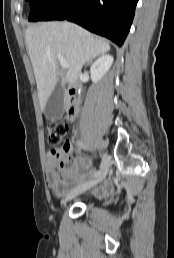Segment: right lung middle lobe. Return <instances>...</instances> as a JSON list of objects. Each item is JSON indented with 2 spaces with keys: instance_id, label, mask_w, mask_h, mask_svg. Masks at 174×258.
I'll use <instances>...</instances> for the list:
<instances>
[{
  "instance_id": "right-lung-middle-lobe-1",
  "label": "right lung middle lobe",
  "mask_w": 174,
  "mask_h": 258,
  "mask_svg": "<svg viewBox=\"0 0 174 258\" xmlns=\"http://www.w3.org/2000/svg\"><path fill=\"white\" fill-rule=\"evenodd\" d=\"M30 2L31 11L29 14V21H41L42 17L47 12L53 0H27Z\"/></svg>"
}]
</instances>
